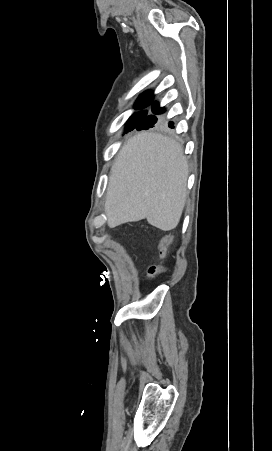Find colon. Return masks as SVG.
<instances>
[{
    "label": "colon",
    "mask_w": 272,
    "mask_h": 451,
    "mask_svg": "<svg viewBox=\"0 0 272 451\" xmlns=\"http://www.w3.org/2000/svg\"><path fill=\"white\" fill-rule=\"evenodd\" d=\"M167 241H172V237L167 238L166 242ZM158 270H159L158 266L152 265V266L148 267L147 273L150 277H153L157 273Z\"/></svg>",
    "instance_id": "1"
}]
</instances>
